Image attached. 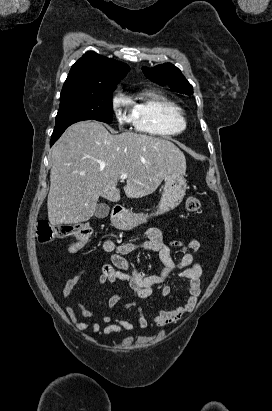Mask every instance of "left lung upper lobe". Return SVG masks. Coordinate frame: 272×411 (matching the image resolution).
Here are the masks:
<instances>
[{
	"label": "left lung upper lobe",
	"mask_w": 272,
	"mask_h": 411,
	"mask_svg": "<svg viewBox=\"0 0 272 411\" xmlns=\"http://www.w3.org/2000/svg\"><path fill=\"white\" fill-rule=\"evenodd\" d=\"M143 73L151 81L159 85H169L172 90L185 94H193L192 85L185 79L181 71L170 63L152 68L143 67Z\"/></svg>",
	"instance_id": "left-lung-upper-lobe-1"
}]
</instances>
